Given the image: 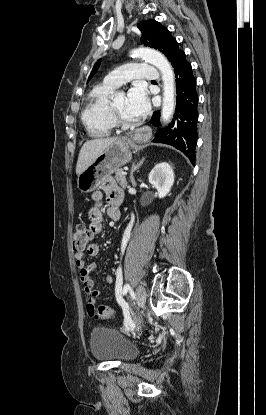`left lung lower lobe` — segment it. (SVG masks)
Instances as JSON below:
<instances>
[{
	"instance_id": "0a47b994",
	"label": "left lung lower lobe",
	"mask_w": 266,
	"mask_h": 415,
	"mask_svg": "<svg viewBox=\"0 0 266 415\" xmlns=\"http://www.w3.org/2000/svg\"><path fill=\"white\" fill-rule=\"evenodd\" d=\"M173 67L177 87L174 118L166 129L157 131L153 142L174 146L194 164L198 122L196 80L184 52L177 58ZM159 117V111H155L151 117V123L159 126Z\"/></svg>"
}]
</instances>
